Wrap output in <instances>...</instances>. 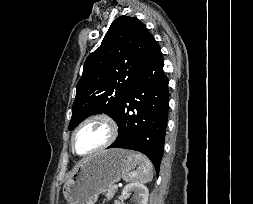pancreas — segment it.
<instances>
[{
    "mask_svg": "<svg viewBox=\"0 0 253 204\" xmlns=\"http://www.w3.org/2000/svg\"><path fill=\"white\" fill-rule=\"evenodd\" d=\"M116 192V189L114 188V186H110L107 191L105 192V196L107 200H110L111 198H113L114 194Z\"/></svg>",
    "mask_w": 253,
    "mask_h": 204,
    "instance_id": "1",
    "label": "pancreas"
}]
</instances>
